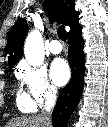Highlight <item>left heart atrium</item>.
Instances as JSON below:
<instances>
[{"label":"left heart atrium","mask_w":108,"mask_h":127,"mask_svg":"<svg viewBox=\"0 0 108 127\" xmlns=\"http://www.w3.org/2000/svg\"><path fill=\"white\" fill-rule=\"evenodd\" d=\"M51 78L56 85H64L70 78L71 71L67 62L63 59H55L50 68Z\"/></svg>","instance_id":"39dd6f15"}]
</instances>
